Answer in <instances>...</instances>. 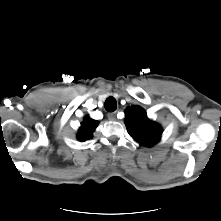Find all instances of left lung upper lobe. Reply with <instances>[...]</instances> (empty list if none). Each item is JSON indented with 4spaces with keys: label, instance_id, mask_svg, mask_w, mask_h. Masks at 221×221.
<instances>
[{
    "label": "left lung upper lobe",
    "instance_id": "1",
    "mask_svg": "<svg viewBox=\"0 0 221 221\" xmlns=\"http://www.w3.org/2000/svg\"><path fill=\"white\" fill-rule=\"evenodd\" d=\"M125 113L127 131L139 144L151 147L159 141L162 129L160 125L148 119L143 108L131 106Z\"/></svg>",
    "mask_w": 221,
    "mask_h": 221
}]
</instances>
